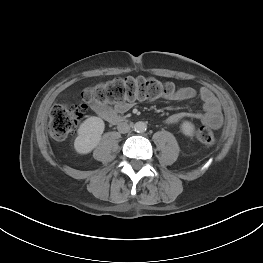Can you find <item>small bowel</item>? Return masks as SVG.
Returning a JSON list of instances; mask_svg holds the SVG:
<instances>
[{
  "mask_svg": "<svg viewBox=\"0 0 263 263\" xmlns=\"http://www.w3.org/2000/svg\"><path fill=\"white\" fill-rule=\"evenodd\" d=\"M197 94L203 103V112H177L168 116L165 122L167 124H176L185 118H194L212 128H219L222 124L221 108L217 98L208 88L202 87L197 93L192 87H183L171 96V99L185 101L195 98ZM131 105V102H126L114 107L98 103H91L90 106L98 115L109 120L110 115L117 116L120 113H124L131 107Z\"/></svg>",
  "mask_w": 263,
  "mask_h": 263,
  "instance_id": "1",
  "label": "small bowel"
}]
</instances>
